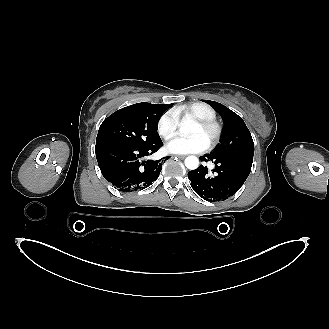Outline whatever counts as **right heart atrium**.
<instances>
[{
	"label": "right heart atrium",
	"instance_id": "obj_1",
	"mask_svg": "<svg viewBox=\"0 0 329 329\" xmlns=\"http://www.w3.org/2000/svg\"><path fill=\"white\" fill-rule=\"evenodd\" d=\"M179 119L174 110L163 113L157 121V132L165 140L173 138L178 129Z\"/></svg>",
	"mask_w": 329,
	"mask_h": 329
}]
</instances>
